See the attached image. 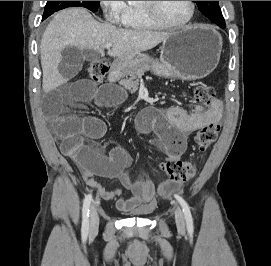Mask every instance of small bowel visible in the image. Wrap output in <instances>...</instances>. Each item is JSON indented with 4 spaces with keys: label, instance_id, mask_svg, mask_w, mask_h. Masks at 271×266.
<instances>
[{
    "label": "small bowel",
    "instance_id": "small-bowel-1",
    "mask_svg": "<svg viewBox=\"0 0 271 266\" xmlns=\"http://www.w3.org/2000/svg\"><path fill=\"white\" fill-rule=\"evenodd\" d=\"M81 68V59L74 56L65 58L58 69L61 84L50 90L44 103L46 116L52 122L62 152L76 163L86 184L96 189L103 199L117 198L118 210L126 212L140 206L152 207L156 192L167 195L178 190L181 182L167 180L156 188L149 179L134 180L125 172L130 158L122 147L115 146L105 154L86 142V139H103L107 135L106 123L96 116H66V106L75 102L94 101L101 107H114L124 101L125 93L113 84L98 87L87 79L71 82ZM221 115L222 103L219 100H215L208 110L198 105L190 112L178 106L165 105L158 111H142L136 119V126L142 133L153 131L166 156L177 159L186 149L188 135L200 130L208 122L219 121ZM98 176L118 179L132 196L122 197L120 189L105 190L96 182Z\"/></svg>",
    "mask_w": 271,
    "mask_h": 266
}]
</instances>
